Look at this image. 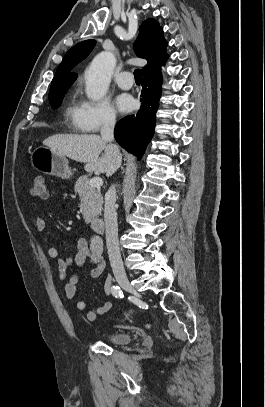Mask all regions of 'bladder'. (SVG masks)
<instances>
[{
  "label": "bladder",
  "instance_id": "31cf9c89",
  "mask_svg": "<svg viewBox=\"0 0 265 407\" xmlns=\"http://www.w3.org/2000/svg\"><path fill=\"white\" fill-rule=\"evenodd\" d=\"M103 337L112 344H127L132 339L131 335L125 332H111L105 334Z\"/></svg>",
  "mask_w": 265,
  "mask_h": 407
}]
</instances>
